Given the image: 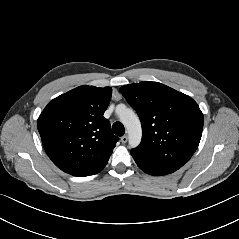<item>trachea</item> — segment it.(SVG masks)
<instances>
[{"mask_svg":"<svg viewBox=\"0 0 239 239\" xmlns=\"http://www.w3.org/2000/svg\"><path fill=\"white\" fill-rule=\"evenodd\" d=\"M113 128V132L117 135V136H123L125 133V128L123 126V124L119 121L115 122L112 126Z\"/></svg>","mask_w":239,"mask_h":239,"instance_id":"trachea-1","label":"trachea"}]
</instances>
